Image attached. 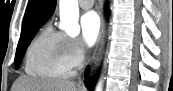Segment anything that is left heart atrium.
<instances>
[{
	"mask_svg": "<svg viewBox=\"0 0 173 91\" xmlns=\"http://www.w3.org/2000/svg\"><path fill=\"white\" fill-rule=\"evenodd\" d=\"M82 35L85 43L93 45L101 31V21L95 11L86 12L80 20Z\"/></svg>",
	"mask_w": 173,
	"mask_h": 91,
	"instance_id": "39dd6f15",
	"label": "left heart atrium"
}]
</instances>
